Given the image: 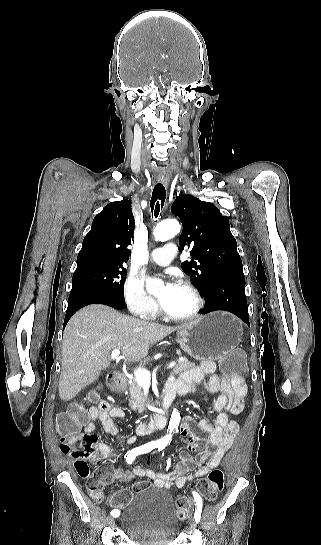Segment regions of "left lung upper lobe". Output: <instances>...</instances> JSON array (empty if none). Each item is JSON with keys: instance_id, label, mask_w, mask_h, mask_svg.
<instances>
[{"instance_id": "left-lung-upper-lobe-1", "label": "left lung upper lobe", "mask_w": 321, "mask_h": 545, "mask_svg": "<svg viewBox=\"0 0 321 545\" xmlns=\"http://www.w3.org/2000/svg\"><path fill=\"white\" fill-rule=\"evenodd\" d=\"M171 211L183 224L179 239L181 250L185 246L192 248V260L183 262L182 269L202 293L216 276L243 269L229 219L222 216L214 204L182 194L173 203Z\"/></svg>"}]
</instances>
